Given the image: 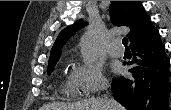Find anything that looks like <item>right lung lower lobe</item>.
Segmentation results:
<instances>
[{"label": "right lung lower lobe", "instance_id": "1", "mask_svg": "<svg viewBox=\"0 0 171 110\" xmlns=\"http://www.w3.org/2000/svg\"><path fill=\"white\" fill-rule=\"evenodd\" d=\"M130 74L113 80L114 98L128 110H169L171 72L159 32L131 46Z\"/></svg>", "mask_w": 171, "mask_h": 110}]
</instances>
